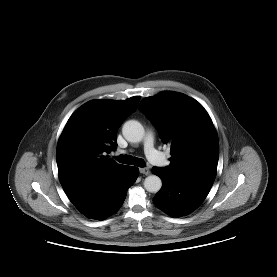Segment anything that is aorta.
Masks as SVG:
<instances>
[{"instance_id":"762f6f07","label":"aorta","mask_w":277,"mask_h":277,"mask_svg":"<svg viewBox=\"0 0 277 277\" xmlns=\"http://www.w3.org/2000/svg\"><path fill=\"white\" fill-rule=\"evenodd\" d=\"M122 134L128 142L138 143L142 141L145 131L142 124L136 120H129L124 123ZM162 186L161 179L156 175H150L144 180V188L151 193H157Z\"/></svg>"}]
</instances>
